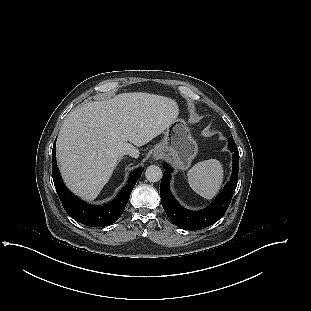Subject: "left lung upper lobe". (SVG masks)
Listing matches in <instances>:
<instances>
[{"label": "left lung upper lobe", "mask_w": 311, "mask_h": 311, "mask_svg": "<svg viewBox=\"0 0 311 311\" xmlns=\"http://www.w3.org/2000/svg\"><path fill=\"white\" fill-rule=\"evenodd\" d=\"M228 147H236L234 139L232 136L228 140Z\"/></svg>", "instance_id": "obj_1"}]
</instances>
